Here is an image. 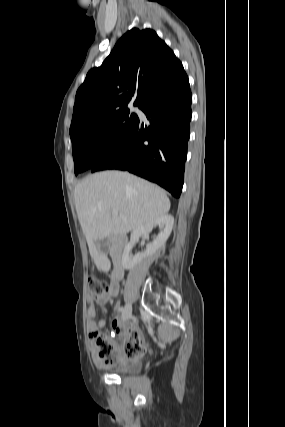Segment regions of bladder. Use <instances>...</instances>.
Wrapping results in <instances>:
<instances>
[{"mask_svg": "<svg viewBox=\"0 0 285 427\" xmlns=\"http://www.w3.org/2000/svg\"><path fill=\"white\" fill-rule=\"evenodd\" d=\"M141 366L137 362H127L113 370L115 374H136L140 371Z\"/></svg>", "mask_w": 285, "mask_h": 427, "instance_id": "bladder-1", "label": "bladder"}]
</instances>
